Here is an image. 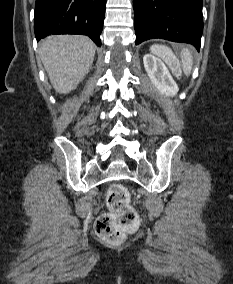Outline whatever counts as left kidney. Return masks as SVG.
Listing matches in <instances>:
<instances>
[{"mask_svg":"<svg viewBox=\"0 0 233 284\" xmlns=\"http://www.w3.org/2000/svg\"><path fill=\"white\" fill-rule=\"evenodd\" d=\"M143 62L153 85L166 96H175L178 92V86L162 60L152 54H145Z\"/></svg>","mask_w":233,"mask_h":284,"instance_id":"obj_1","label":"left kidney"}]
</instances>
